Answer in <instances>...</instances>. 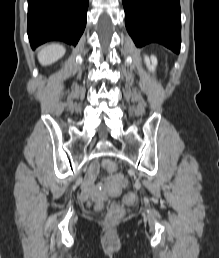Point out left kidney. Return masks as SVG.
<instances>
[{
	"label": "left kidney",
	"instance_id": "1",
	"mask_svg": "<svg viewBox=\"0 0 219 258\" xmlns=\"http://www.w3.org/2000/svg\"><path fill=\"white\" fill-rule=\"evenodd\" d=\"M145 63L150 71H154L157 66V58L151 56L150 58L145 56Z\"/></svg>",
	"mask_w": 219,
	"mask_h": 258
}]
</instances>
